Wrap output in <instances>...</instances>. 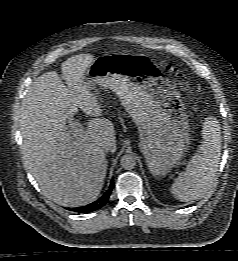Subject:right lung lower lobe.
<instances>
[{
    "mask_svg": "<svg viewBox=\"0 0 238 261\" xmlns=\"http://www.w3.org/2000/svg\"><path fill=\"white\" fill-rule=\"evenodd\" d=\"M113 189V184L111 183L109 189L95 202L88 204L83 207L77 208L76 212H93L102 208L109 200L110 194Z\"/></svg>",
    "mask_w": 238,
    "mask_h": 261,
    "instance_id": "right-lung-lower-lobe-1",
    "label": "right lung lower lobe"
}]
</instances>
